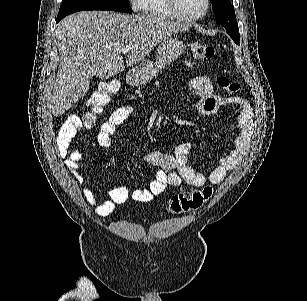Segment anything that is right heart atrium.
Masks as SVG:
<instances>
[{"instance_id": "d8ad5b80", "label": "right heart atrium", "mask_w": 307, "mask_h": 301, "mask_svg": "<svg viewBox=\"0 0 307 301\" xmlns=\"http://www.w3.org/2000/svg\"><path fill=\"white\" fill-rule=\"evenodd\" d=\"M133 3L134 4H140V6H139L140 11H147V9H148L147 4H143L144 0H133Z\"/></svg>"}]
</instances>
